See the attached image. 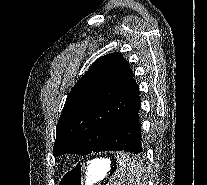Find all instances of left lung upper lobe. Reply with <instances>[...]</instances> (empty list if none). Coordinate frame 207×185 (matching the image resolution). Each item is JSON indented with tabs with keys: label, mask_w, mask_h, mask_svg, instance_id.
Segmentation results:
<instances>
[{
	"label": "left lung upper lobe",
	"mask_w": 207,
	"mask_h": 185,
	"mask_svg": "<svg viewBox=\"0 0 207 185\" xmlns=\"http://www.w3.org/2000/svg\"><path fill=\"white\" fill-rule=\"evenodd\" d=\"M139 99V87L120 53L97 59L67 96L53 154L102 151L118 119Z\"/></svg>",
	"instance_id": "left-lung-upper-lobe-1"
}]
</instances>
